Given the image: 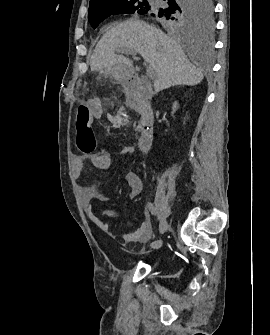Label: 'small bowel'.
Here are the masks:
<instances>
[{
  "label": "small bowel",
  "mask_w": 270,
  "mask_h": 335,
  "mask_svg": "<svg viewBox=\"0 0 270 335\" xmlns=\"http://www.w3.org/2000/svg\"><path fill=\"white\" fill-rule=\"evenodd\" d=\"M88 105L92 110L94 118L99 119L103 115L102 109L98 106L95 100L88 101ZM135 152V148L131 145L125 146L122 151V156L132 155ZM87 161H91L98 168H107L111 164L112 158L110 155L105 153H95L89 156L86 155H75L73 161V170L76 178H80L83 174ZM125 181L128 185V199L134 200L141 192L143 188V182L139 174L134 170H128L125 173ZM82 203L88 218L102 231L107 234L113 235L110 230L109 224L100 218L95 210L93 201L98 199L100 201L107 200L106 193L101 188H82L80 191ZM111 216H118L120 212L111 211ZM144 221L140 224L136 231L128 233L123 236L125 241L128 242H142L147 240L152 234V227L149 220V213L147 210L144 211Z\"/></svg>",
  "instance_id": "c3829d8e"
}]
</instances>
